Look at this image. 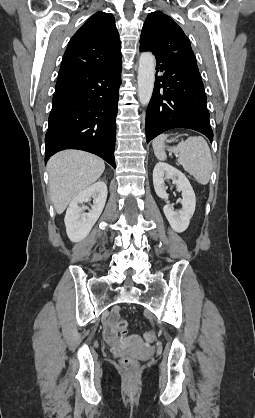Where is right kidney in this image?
I'll list each match as a JSON object with an SVG mask.
<instances>
[{"label":"right kidney","mask_w":255,"mask_h":418,"mask_svg":"<svg viewBox=\"0 0 255 418\" xmlns=\"http://www.w3.org/2000/svg\"><path fill=\"white\" fill-rule=\"evenodd\" d=\"M107 186L105 182L98 181L81 191L69 204L65 215L66 233L73 242L83 240L101 215L107 199ZM93 199V205L88 213L85 206L79 204Z\"/></svg>","instance_id":"right-kidney-1"}]
</instances>
